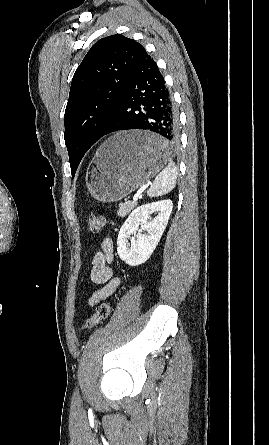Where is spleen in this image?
Wrapping results in <instances>:
<instances>
[{"label":"spleen","mask_w":269,"mask_h":445,"mask_svg":"<svg viewBox=\"0 0 269 445\" xmlns=\"http://www.w3.org/2000/svg\"><path fill=\"white\" fill-rule=\"evenodd\" d=\"M165 145L167 146V142H165ZM176 180L177 168L173 160L169 159L168 165L156 176L147 195L150 197H158L171 192L175 187Z\"/></svg>","instance_id":"obj_1"}]
</instances>
